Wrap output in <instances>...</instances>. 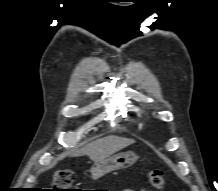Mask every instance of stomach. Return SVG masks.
<instances>
[{
  "mask_svg": "<svg viewBox=\"0 0 218 191\" xmlns=\"http://www.w3.org/2000/svg\"><path fill=\"white\" fill-rule=\"evenodd\" d=\"M138 157L133 152L119 153L106 158L103 161L95 162L91 168L92 178L98 179L112 171L132 166Z\"/></svg>",
  "mask_w": 218,
  "mask_h": 191,
  "instance_id": "1",
  "label": "stomach"
}]
</instances>
